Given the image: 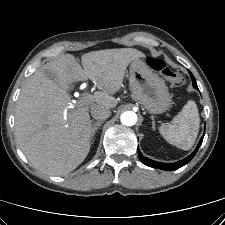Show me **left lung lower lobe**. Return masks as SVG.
I'll list each match as a JSON object with an SVG mask.
<instances>
[{
	"instance_id": "1",
	"label": "left lung lower lobe",
	"mask_w": 225,
	"mask_h": 225,
	"mask_svg": "<svg viewBox=\"0 0 225 225\" xmlns=\"http://www.w3.org/2000/svg\"><path fill=\"white\" fill-rule=\"evenodd\" d=\"M190 73V76H191V79H192V83H193V86L198 89V86L196 84V80L194 78V76L192 75V73L189 71ZM202 141H203V137L200 139L195 151L190 154L188 157H186L185 159L179 161V162H176V163H159V162H156V161H153V160H150L146 157H144L140 151H138V155H139V158L140 160L147 166L149 167H153V168H158V169H162V170H176V169H179L181 168L182 166L186 165L188 162H190V160L195 156L196 152L198 151L200 145L202 144Z\"/></svg>"
}]
</instances>
